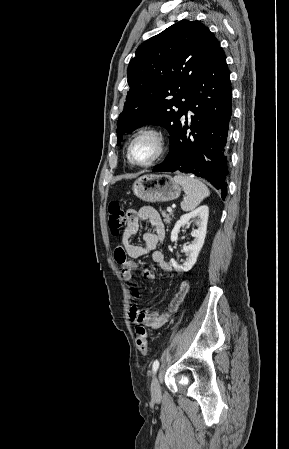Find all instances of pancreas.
I'll return each mask as SVG.
<instances>
[{
	"instance_id": "obj_1",
	"label": "pancreas",
	"mask_w": 289,
	"mask_h": 449,
	"mask_svg": "<svg viewBox=\"0 0 289 449\" xmlns=\"http://www.w3.org/2000/svg\"><path fill=\"white\" fill-rule=\"evenodd\" d=\"M161 214L163 216V220L166 224H170V222L172 221L173 218V212L170 213H166L164 211H161Z\"/></svg>"
}]
</instances>
